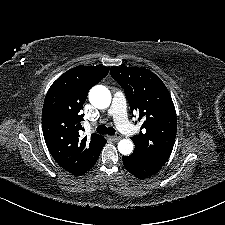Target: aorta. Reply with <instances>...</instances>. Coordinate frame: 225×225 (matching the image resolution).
Listing matches in <instances>:
<instances>
[{
	"label": "aorta",
	"mask_w": 225,
	"mask_h": 225,
	"mask_svg": "<svg viewBox=\"0 0 225 225\" xmlns=\"http://www.w3.org/2000/svg\"><path fill=\"white\" fill-rule=\"evenodd\" d=\"M111 93L106 86L96 85L89 92L90 103L98 108L105 109L111 103ZM134 144L129 139H123L118 143V151L123 155H130L133 152Z\"/></svg>",
	"instance_id": "obj_1"
}]
</instances>
